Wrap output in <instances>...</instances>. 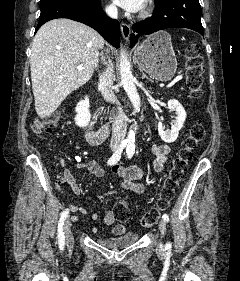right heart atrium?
Returning a JSON list of instances; mask_svg holds the SVG:
<instances>
[{"label":"right heart atrium","instance_id":"1","mask_svg":"<svg viewBox=\"0 0 240 281\" xmlns=\"http://www.w3.org/2000/svg\"><path fill=\"white\" fill-rule=\"evenodd\" d=\"M105 11L111 17H115L117 15V9L113 4H106Z\"/></svg>","mask_w":240,"mask_h":281}]
</instances>
